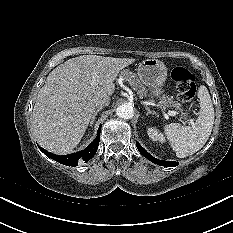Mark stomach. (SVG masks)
<instances>
[{"mask_svg":"<svg viewBox=\"0 0 233 233\" xmlns=\"http://www.w3.org/2000/svg\"><path fill=\"white\" fill-rule=\"evenodd\" d=\"M138 76L143 84H145L153 97H159L163 91L167 78V67L158 59L143 60L137 70Z\"/></svg>","mask_w":233,"mask_h":233,"instance_id":"0dacf381","label":"stomach"}]
</instances>
